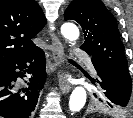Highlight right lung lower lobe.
<instances>
[{"label":"right lung lower lobe","instance_id":"98d812e1","mask_svg":"<svg viewBox=\"0 0 133 118\" xmlns=\"http://www.w3.org/2000/svg\"><path fill=\"white\" fill-rule=\"evenodd\" d=\"M26 72L31 78L26 81V87H21L16 80ZM45 79V54L40 48L16 57L0 67V116L29 118Z\"/></svg>","mask_w":133,"mask_h":118}]
</instances>
